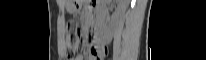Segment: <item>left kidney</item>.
<instances>
[{
  "mask_svg": "<svg viewBox=\"0 0 206 60\" xmlns=\"http://www.w3.org/2000/svg\"><path fill=\"white\" fill-rule=\"evenodd\" d=\"M109 1L110 0H100L97 7L98 30L102 40L106 43L110 42L112 39L117 20L126 8V1L118 0L119 5L116 11L111 16V18H107L108 9L106 5L109 3Z\"/></svg>",
  "mask_w": 206,
  "mask_h": 60,
  "instance_id": "obj_1",
  "label": "left kidney"
}]
</instances>
